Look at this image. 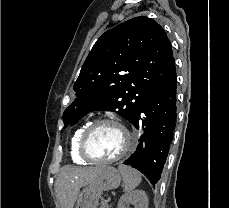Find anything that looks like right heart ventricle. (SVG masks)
I'll list each match as a JSON object with an SVG mask.
<instances>
[{
  "label": "right heart ventricle",
  "mask_w": 229,
  "mask_h": 208,
  "mask_svg": "<svg viewBox=\"0 0 229 208\" xmlns=\"http://www.w3.org/2000/svg\"><path fill=\"white\" fill-rule=\"evenodd\" d=\"M89 122L82 124L79 126L71 135L70 137V157L73 163L78 164V165H87L91 161L88 160L87 158H81L80 154L78 153V148H79V143L81 140V136L84 132V130L88 127Z\"/></svg>",
  "instance_id": "e07e8e85"
}]
</instances>
